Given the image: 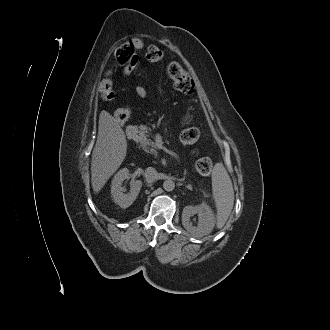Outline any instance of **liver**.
Wrapping results in <instances>:
<instances>
[{"instance_id":"obj_1","label":"liver","mask_w":330,"mask_h":330,"mask_svg":"<svg viewBox=\"0 0 330 330\" xmlns=\"http://www.w3.org/2000/svg\"><path fill=\"white\" fill-rule=\"evenodd\" d=\"M127 154V140L118 121L106 111L99 116L98 136L92 152L91 183L98 193Z\"/></svg>"}]
</instances>
